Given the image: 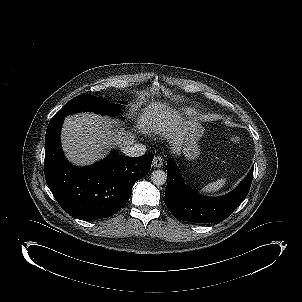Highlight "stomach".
Returning <instances> with one entry per match:
<instances>
[{
	"label": "stomach",
	"instance_id": "stomach-1",
	"mask_svg": "<svg viewBox=\"0 0 302 302\" xmlns=\"http://www.w3.org/2000/svg\"><path fill=\"white\" fill-rule=\"evenodd\" d=\"M203 132L204 129L199 122L189 121L186 123L182 153L188 160H194L199 156L198 142L203 136Z\"/></svg>",
	"mask_w": 302,
	"mask_h": 302
}]
</instances>
